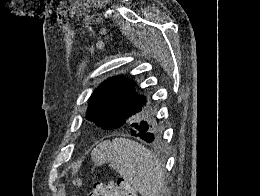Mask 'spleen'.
<instances>
[{
    "mask_svg": "<svg viewBox=\"0 0 260 196\" xmlns=\"http://www.w3.org/2000/svg\"><path fill=\"white\" fill-rule=\"evenodd\" d=\"M91 158L95 166L109 164L127 184L136 188L141 196H159L166 184L160 160L134 140H105L94 148Z\"/></svg>",
    "mask_w": 260,
    "mask_h": 196,
    "instance_id": "spleen-1",
    "label": "spleen"
}]
</instances>
